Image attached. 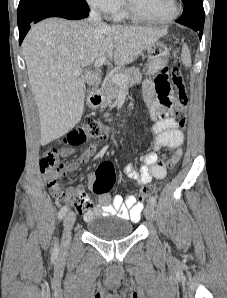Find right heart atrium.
<instances>
[{"label": "right heart atrium", "instance_id": "right-heart-atrium-1", "mask_svg": "<svg viewBox=\"0 0 227 298\" xmlns=\"http://www.w3.org/2000/svg\"><path fill=\"white\" fill-rule=\"evenodd\" d=\"M87 3L104 15H115L121 8V0H86Z\"/></svg>", "mask_w": 227, "mask_h": 298}]
</instances>
